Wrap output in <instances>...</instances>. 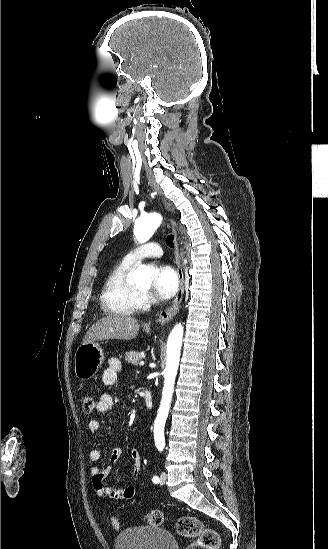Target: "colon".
Wrapping results in <instances>:
<instances>
[{
	"instance_id": "1",
	"label": "colon",
	"mask_w": 328,
	"mask_h": 549,
	"mask_svg": "<svg viewBox=\"0 0 328 549\" xmlns=\"http://www.w3.org/2000/svg\"><path fill=\"white\" fill-rule=\"evenodd\" d=\"M82 403L83 410L87 414L95 409V398L89 393L83 395ZM145 521L152 526H160L164 521L163 513L157 509L150 510L145 514ZM110 524L115 530L120 529L118 518L111 517ZM175 529L181 537L191 539L186 549H218L220 546V537L217 531L204 526L196 517H180L175 523Z\"/></svg>"
}]
</instances>
